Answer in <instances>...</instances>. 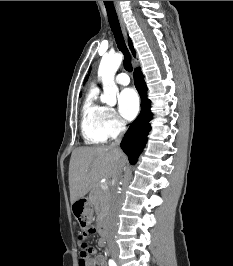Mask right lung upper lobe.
I'll return each mask as SVG.
<instances>
[{
    "label": "right lung upper lobe",
    "instance_id": "1",
    "mask_svg": "<svg viewBox=\"0 0 233 266\" xmlns=\"http://www.w3.org/2000/svg\"><path fill=\"white\" fill-rule=\"evenodd\" d=\"M129 47H130V49H131L133 55H135L134 48H133V46H132V42H131L130 40H129Z\"/></svg>",
    "mask_w": 233,
    "mask_h": 266
}]
</instances>
